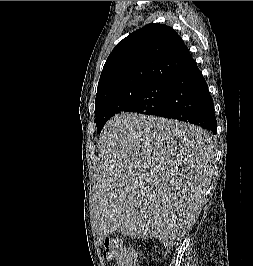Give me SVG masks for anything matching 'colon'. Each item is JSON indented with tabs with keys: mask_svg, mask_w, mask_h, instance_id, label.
<instances>
[{
	"mask_svg": "<svg viewBox=\"0 0 253 266\" xmlns=\"http://www.w3.org/2000/svg\"><path fill=\"white\" fill-rule=\"evenodd\" d=\"M104 258L115 266H136L135 256L117 239L108 238L104 242Z\"/></svg>",
	"mask_w": 253,
	"mask_h": 266,
	"instance_id": "1",
	"label": "colon"
}]
</instances>
